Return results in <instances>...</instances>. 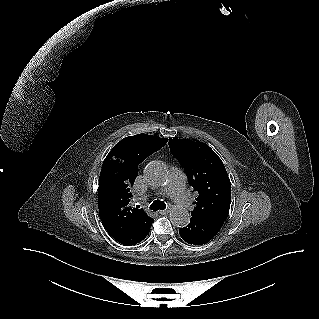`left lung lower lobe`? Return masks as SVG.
<instances>
[{"label":"left lung lower lobe","mask_w":319,"mask_h":319,"mask_svg":"<svg viewBox=\"0 0 319 319\" xmlns=\"http://www.w3.org/2000/svg\"><path fill=\"white\" fill-rule=\"evenodd\" d=\"M223 224L224 221L218 219L191 217L188 226L181 228L179 234L189 244L203 245L218 233Z\"/></svg>","instance_id":"1"}]
</instances>
